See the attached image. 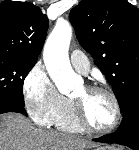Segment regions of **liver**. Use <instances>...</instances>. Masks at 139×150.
Masks as SVG:
<instances>
[{
	"label": "liver",
	"mask_w": 139,
	"mask_h": 150,
	"mask_svg": "<svg viewBox=\"0 0 139 150\" xmlns=\"http://www.w3.org/2000/svg\"><path fill=\"white\" fill-rule=\"evenodd\" d=\"M94 146L70 134L35 128L20 114L0 116V150H85Z\"/></svg>",
	"instance_id": "liver-1"
}]
</instances>
